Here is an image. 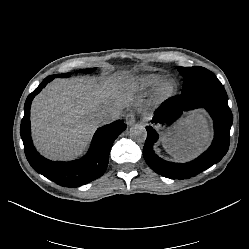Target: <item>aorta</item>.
Here are the masks:
<instances>
[{"label": "aorta", "mask_w": 249, "mask_h": 249, "mask_svg": "<svg viewBox=\"0 0 249 249\" xmlns=\"http://www.w3.org/2000/svg\"><path fill=\"white\" fill-rule=\"evenodd\" d=\"M130 137L135 142H144L147 137L145 127L143 125L137 124L130 128Z\"/></svg>", "instance_id": "762f6f07"}]
</instances>
